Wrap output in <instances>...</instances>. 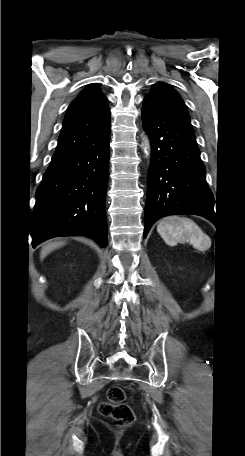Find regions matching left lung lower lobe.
<instances>
[{"label": "left lung lower lobe", "instance_id": "0a47b994", "mask_svg": "<svg viewBox=\"0 0 245 456\" xmlns=\"http://www.w3.org/2000/svg\"><path fill=\"white\" fill-rule=\"evenodd\" d=\"M142 121L152 144L144 237L154 222L168 215L212 220L214 198L189 115L144 98Z\"/></svg>", "mask_w": 245, "mask_h": 456}]
</instances>
